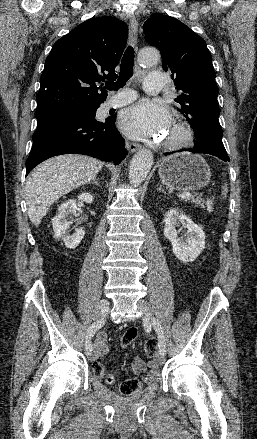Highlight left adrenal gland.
Segmentation results:
<instances>
[{
    "instance_id": "a2214340",
    "label": "left adrenal gland",
    "mask_w": 257,
    "mask_h": 439,
    "mask_svg": "<svg viewBox=\"0 0 257 439\" xmlns=\"http://www.w3.org/2000/svg\"><path fill=\"white\" fill-rule=\"evenodd\" d=\"M157 190H158V191H164V190L162 189V185H160L159 188H158Z\"/></svg>"
}]
</instances>
